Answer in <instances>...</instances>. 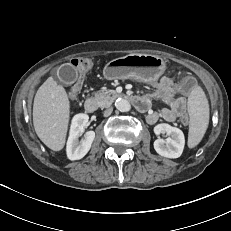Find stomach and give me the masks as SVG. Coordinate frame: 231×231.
I'll return each mask as SVG.
<instances>
[{"label": "stomach", "instance_id": "stomach-1", "mask_svg": "<svg viewBox=\"0 0 231 231\" xmlns=\"http://www.w3.org/2000/svg\"><path fill=\"white\" fill-rule=\"evenodd\" d=\"M165 67V61L157 55L129 54L108 62L103 75L108 80L134 79L153 83L164 73Z\"/></svg>", "mask_w": 231, "mask_h": 231}]
</instances>
